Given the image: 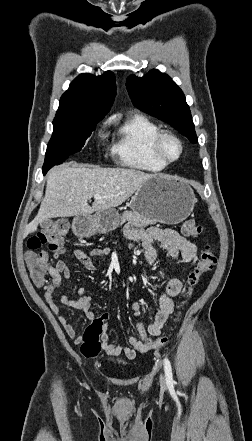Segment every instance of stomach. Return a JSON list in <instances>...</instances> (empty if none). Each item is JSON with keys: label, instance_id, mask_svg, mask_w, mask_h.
<instances>
[{"label": "stomach", "instance_id": "stomach-1", "mask_svg": "<svg viewBox=\"0 0 252 441\" xmlns=\"http://www.w3.org/2000/svg\"><path fill=\"white\" fill-rule=\"evenodd\" d=\"M196 198L184 181L166 175L148 179L131 199V208L140 215L165 224H178L192 212ZM120 221L118 212L111 208L97 212L93 217L78 216L74 219L79 233H107Z\"/></svg>", "mask_w": 252, "mask_h": 441}]
</instances>
